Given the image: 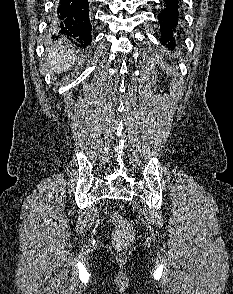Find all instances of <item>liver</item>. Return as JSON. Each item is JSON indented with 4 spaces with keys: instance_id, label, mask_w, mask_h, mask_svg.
Here are the masks:
<instances>
[{
    "instance_id": "liver-1",
    "label": "liver",
    "mask_w": 233,
    "mask_h": 294,
    "mask_svg": "<svg viewBox=\"0 0 233 294\" xmlns=\"http://www.w3.org/2000/svg\"><path fill=\"white\" fill-rule=\"evenodd\" d=\"M45 61L52 73H62L68 70L75 62V52L73 49L63 50V46L48 45L46 48Z\"/></svg>"
}]
</instances>
